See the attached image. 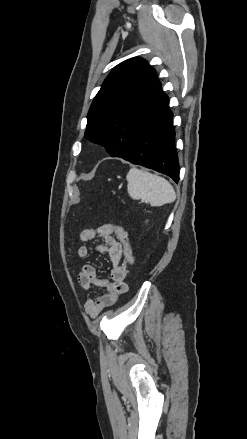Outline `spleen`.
Returning a JSON list of instances; mask_svg holds the SVG:
<instances>
[{
  "label": "spleen",
  "mask_w": 247,
  "mask_h": 439,
  "mask_svg": "<svg viewBox=\"0 0 247 439\" xmlns=\"http://www.w3.org/2000/svg\"><path fill=\"white\" fill-rule=\"evenodd\" d=\"M126 178L128 193L134 200L141 199L157 207L176 199L173 186L163 177L132 167Z\"/></svg>",
  "instance_id": "3e777b00"
}]
</instances>
